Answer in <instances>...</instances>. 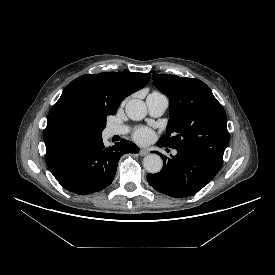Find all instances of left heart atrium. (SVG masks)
<instances>
[{
    "label": "left heart atrium",
    "mask_w": 275,
    "mask_h": 275,
    "mask_svg": "<svg viewBox=\"0 0 275 275\" xmlns=\"http://www.w3.org/2000/svg\"><path fill=\"white\" fill-rule=\"evenodd\" d=\"M152 136H153L152 131L149 128H144V127L143 128H139L134 133V138L139 143H147V142H149L151 140Z\"/></svg>",
    "instance_id": "1"
}]
</instances>
